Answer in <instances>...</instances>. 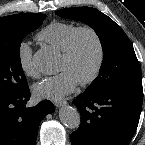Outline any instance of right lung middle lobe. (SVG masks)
Here are the masks:
<instances>
[{
    "mask_svg": "<svg viewBox=\"0 0 145 145\" xmlns=\"http://www.w3.org/2000/svg\"><path fill=\"white\" fill-rule=\"evenodd\" d=\"M44 19L45 15L38 13L0 18V95H15L28 88L20 61V45Z\"/></svg>",
    "mask_w": 145,
    "mask_h": 145,
    "instance_id": "dd1d6c3e",
    "label": "right lung middle lobe"
}]
</instances>
